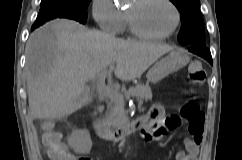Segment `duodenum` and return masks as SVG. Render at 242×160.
<instances>
[{"label":"duodenum","instance_id":"obj_1","mask_svg":"<svg viewBox=\"0 0 242 160\" xmlns=\"http://www.w3.org/2000/svg\"><path fill=\"white\" fill-rule=\"evenodd\" d=\"M98 111H99V108L95 107L91 112L95 133L100 139H103L109 142H119L123 140L132 132L143 128L145 123L148 120V118L141 117V118L132 120L131 122L127 123L126 125L118 129H111L106 122L97 118Z\"/></svg>","mask_w":242,"mask_h":160}]
</instances>
